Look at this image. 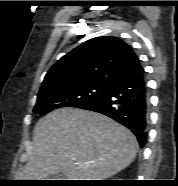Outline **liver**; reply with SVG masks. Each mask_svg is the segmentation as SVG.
<instances>
[{"instance_id": "liver-1", "label": "liver", "mask_w": 178, "mask_h": 186, "mask_svg": "<svg viewBox=\"0 0 178 186\" xmlns=\"http://www.w3.org/2000/svg\"><path fill=\"white\" fill-rule=\"evenodd\" d=\"M137 150L133 133L111 118L60 108L35 125L32 153L20 178L45 180L62 173L68 180H104L129 166Z\"/></svg>"}]
</instances>
